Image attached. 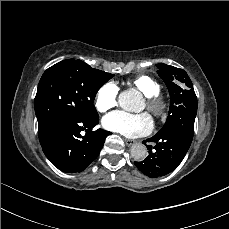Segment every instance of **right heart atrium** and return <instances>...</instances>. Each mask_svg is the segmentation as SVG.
<instances>
[{
    "instance_id": "1",
    "label": "right heart atrium",
    "mask_w": 229,
    "mask_h": 229,
    "mask_svg": "<svg viewBox=\"0 0 229 229\" xmlns=\"http://www.w3.org/2000/svg\"><path fill=\"white\" fill-rule=\"evenodd\" d=\"M119 88L113 82H106L96 91L94 106L99 112H106L117 104Z\"/></svg>"
}]
</instances>
